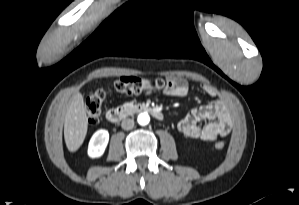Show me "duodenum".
<instances>
[{
    "instance_id": "410a0bca",
    "label": "duodenum",
    "mask_w": 299,
    "mask_h": 205,
    "mask_svg": "<svg viewBox=\"0 0 299 205\" xmlns=\"http://www.w3.org/2000/svg\"><path fill=\"white\" fill-rule=\"evenodd\" d=\"M135 113H148L158 120L163 119V113L147 104L124 105L111 108L106 112V118L113 123H117Z\"/></svg>"
}]
</instances>
